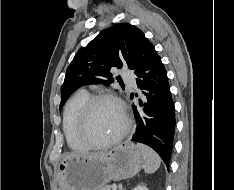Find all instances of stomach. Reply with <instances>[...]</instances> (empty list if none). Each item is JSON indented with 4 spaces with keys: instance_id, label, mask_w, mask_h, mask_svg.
I'll use <instances>...</instances> for the list:
<instances>
[{
    "instance_id": "obj_1",
    "label": "stomach",
    "mask_w": 234,
    "mask_h": 190,
    "mask_svg": "<svg viewBox=\"0 0 234 190\" xmlns=\"http://www.w3.org/2000/svg\"><path fill=\"white\" fill-rule=\"evenodd\" d=\"M143 160L141 151L129 141L99 155L65 157L58 166L59 190H100L111 180L136 175Z\"/></svg>"
}]
</instances>
